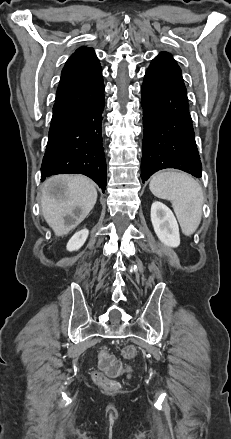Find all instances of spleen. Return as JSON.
I'll return each instance as SVG.
<instances>
[{
	"label": "spleen",
	"instance_id": "obj_1",
	"mask_svg": "<svg viewBox=\"0 0 231 439\" xmlns=\"http://www.w3.org/2000/svg\"><path fill=\"white\" fill-rule=\"evenodd\" d=\"M149 188L158 198L170 200L185 235L193 234L201 222L203 192L190 175L161 172L154 175Z\"/></svg>",
	"mask_w": 231,
	"mask_h": 439
}]
</instances>
